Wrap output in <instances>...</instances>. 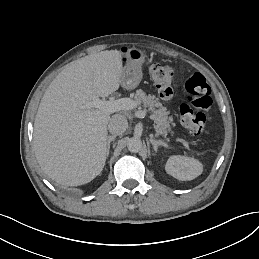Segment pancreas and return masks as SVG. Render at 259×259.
<instances>
[{"label":"pancreas","mask_w":259,"mask_h":259,"mask_svg":"<svg viewBox=\"0 0 259 259\" xmlns=\"http://www.w3.org/2000/svg\"><path fill=\"white\" fill-rule=\"evenodd\" d=\"M154 98V96L147 95L146 92L142 90H137L135 93L136 105H143V110L148 112L150 120L154 122V128L157 127L159 129L157 133L161 131L167 135L170 129L168 120L172 119V117L167 116L168 112L166 108L162 106L161 102L156 101Z\"/></svg>","instance_id":"pancreas-1"}]
</instances>
